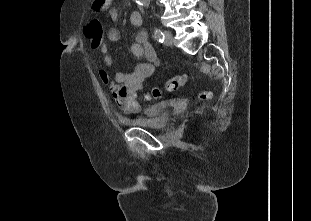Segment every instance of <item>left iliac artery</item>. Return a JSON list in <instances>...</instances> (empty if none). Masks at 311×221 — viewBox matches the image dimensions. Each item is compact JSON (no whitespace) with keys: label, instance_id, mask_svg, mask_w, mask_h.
<instances>
[{"label":"left iliac artery","instance_id":"1","mask_svg":"<svg viewBox=\"0 0 311 221\" xmlns=\"http://www.w3.org/2000/svg\"><path fill=\"white\" fill-rule=\"evenodd\" d=\"M154 36H155V39L160 42V43H163L164 41V34L163 32L161 31V29L155 27L154 28Z\"/></svg>","mask_w":311,"mask_h":221}]
</instances>
